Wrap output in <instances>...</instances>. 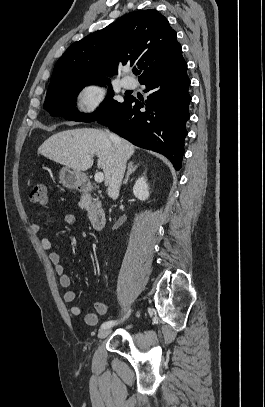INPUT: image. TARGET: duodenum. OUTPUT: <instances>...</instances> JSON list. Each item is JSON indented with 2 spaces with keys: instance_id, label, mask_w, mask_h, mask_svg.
<instances>
[{
  "instance_id": "obj_1",
  "label": "duodenum",
  "mask_w": 265,
  "mask_h": 407,
  "mask_svg": "<svg viewBox=\"0 0 265 407\" xmlns=\"http://www.w3.org/2000/svg\"><path fill=\"white\" fill-rule=\"evenodd\" d=\"M79 189L83 192H90L92 190V184L90 181L84 180L80 183ZM88 215L92 227L96 231H100L106 224V213L103 208L97 205L88 206Z\"/></svg>"
}]
</instances>
